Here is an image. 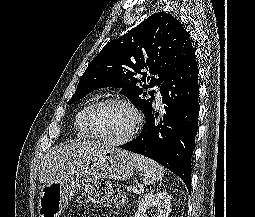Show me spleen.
Returning <instances> with one entry per match:
<instances>
[{"mask_svg": "<svg viewBox=\"0 0 255 217\" xmlns=\"http://www.w3.org/2000/svg\"><path fill=\"white\" fill-rule=\"evenodd\" d=\"M129 155L135 167L142 172L144 184H153L164 176L165 169L154 160L139 154L129 153Z\"/></svg>", "mask_w": 255, "mask_h": 217, "instance_id": "3e777b00", "label": "spleen"}]
</instances>
